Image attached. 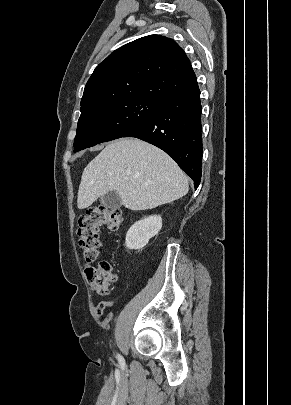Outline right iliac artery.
<instances>
[{"label":"right iliac artery","mask_w":291,"mask_h":405,"mask_svg":"<svg viewBox=\"0 0 291 405\" xmlns=\"http://www.w3.org/2000/svg\"><path fill=\"white\" fill-rule=\"evenodd\" d=\"M118 360H119V361H122V360H123L120 355H118Z\"/></svg>","instance_id":"1"}]
</instances>
